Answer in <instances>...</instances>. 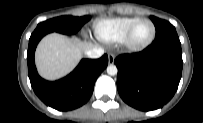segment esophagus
<instances>
[{"label": "esophagus", "instance_id": "esophagus-1", "mask_svg": "<svg viewBox=\"0 0 203 123\" xmlns=\"http://www.w3.org/2000/svg\"><path fill=\"white\" fill-rule=\"evenodd\" d=\"M114 60H115V55L110 53L108 55V62H109V64H113Z\"/></svg>", "mask_w": 203, "mask_h": 123}]
</instances>
